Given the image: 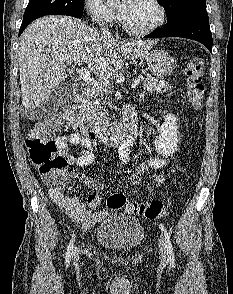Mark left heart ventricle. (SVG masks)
Listing matches in <instances>:
<instances>
[{
	"instance_id": "left-heart-ventricle-1",
	"label": "left heart ventricle",
	"mask_w": 233,
	"mask_h": 294,
	"mask_svg": "<svg viewBox=\"0 0 233 294\" xmlns=\"http://www.w3.org/2000/svg\"><path fill=\"white\" fill-rule=\"evenodd\" d=\"M123 6L124 2L120 5L121 9ZM123 16L130 26L145 28L155 22L157 11L148 0H133L130 7L123 12Z\"/></svg>"
}]
</instances>
